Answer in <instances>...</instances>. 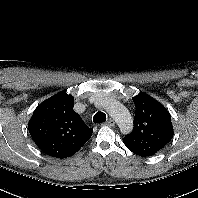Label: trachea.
<instances>
[{"label": "trachea", "instance_id": "trachea-1", "mask_svg": "<svg viewBox=\"0 0 198 198\" xmlns=\"http://www.w3.org/2000/svg\"><path fill=\"white\" fill-rule=\"evenodd\" d=\"M106 121V114L103 112H97L93 117L94 123H103Z\"/></svg>", "mask_w": 198, "mask_h": 198}]
</instances>
